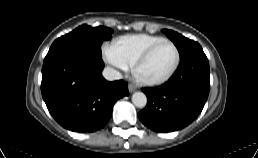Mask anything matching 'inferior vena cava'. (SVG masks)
Here are the masks:
<instances>
[{
	"instance_id": "obj_1",
	"label": "inferior vena cava",
	"mask_w": 258,
	"mask_h": 158,
	"mask_svg": "<svg viewBox=\"0 0 258 158\" xmlns=\"http://www.w3.org/2000/svg\"><path fill=\"white\" fill-rule=\"evenodd\" d=\"M102 75L106 80H109V81L119 80L122 78V75L120 74L119 71L109 66L104 68Z\"/></svg>"
}]
</instances>
